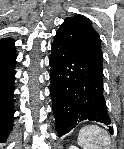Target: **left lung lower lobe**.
I'll return each mask as SVG.
<instances>
[{"label": "left lung lower lobe", "mask_w": 124, "mask_h": 149, "mask_svg": "<svg viewBox=\"0 0 124 149\" xmlns=\"http://www.w3.org/2000/svg\"><path fill=\"white\" fill-rule=\"evenodd\" d=\"M50 94L58 136L90 120L113 132L103 95V70L98 69L58 33L50 57Z\"/></svg>", "instance_id": "1"}]
</instances>
